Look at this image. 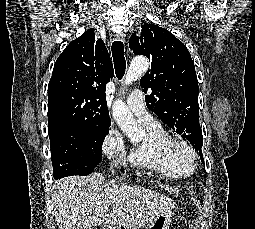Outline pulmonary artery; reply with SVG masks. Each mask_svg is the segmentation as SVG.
<instances>
[{"label":"pulmonary artery","mask_w":255,"mask_h":229,"mask_svg":"<svg viewBox=\"0 0 255 229\" xmlns=\"http://www.w3.org/2000/svg\"><path fill=\"white\" fill-rule=\"evenodd\" d=\"M128 108L136 116V118L148 127H159L160 123L157 122L150 114L147 113L144 104V96L141 90H132L126 100Z\"/></svg>","instance_id":"e3ab8cb5"}]
</instances>
